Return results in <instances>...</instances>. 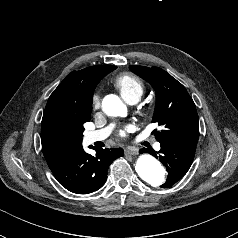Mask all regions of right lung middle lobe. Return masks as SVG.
Masks as SVG:
<instances>
[{"label": "right lung middle lobe", "mask_w": 238, "mask_h": 238, "mask_svg": "<svg viewBox=\"0 0 238 238\" xmlns=\"http://www.w3.org/2000/svg\"><path fill=\"white\" fill-rule=\"evenodd\" d=\"M114 69H116L115 66H113L112 70H114ZM79 131H80V133H81V135H82V134H83V131H84L83 125H80V126H79Z\"/></svg>", "instance_id": "right-lung-middle-lobe-1"}]
</instances>
